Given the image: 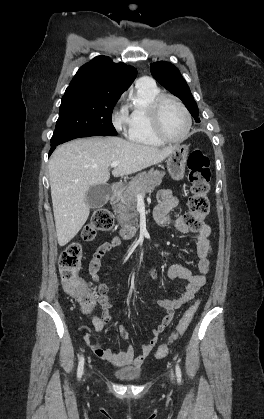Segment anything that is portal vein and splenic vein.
<instances>
[{"mask_svg": "<svg viewBox=\"0 0 264 419\" xmlns=\"http://www.w3.org/2000/svg\"><path fill=\"white\" fill-rule=\"evenodd\" d=\"M118 164H119V162L115 161V162H112L110 164V166H111V168H115V167H117ZM138 198H142V197L140 195H138Z\"/></svg>", "mask_w": 264, "mask_h": 419, "instance_id": "obj_1", "label": "portal vein and splenic vein"}]
</instances>
